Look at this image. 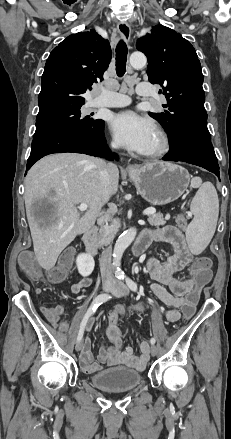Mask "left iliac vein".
I'll return each instance as SVG.
<instances>
[{"mask_svg":"<svg viewBox=\"0 0 231 439\" xmlns=\"http://www.w3.org/2000/svg\"><path fill=\"white\" fill-rule=\"evenodd\" d=\"M115 296L122 297L129 293V289L123 283L116 284L114 290L112 291ZM150 353L152 356L157 354V348L155 345H151Z\"/></svg>","mask_w":231,"mask_h":439,"instance_id":"4c4485c4","label":"left iliac vein"}]
</instances>
